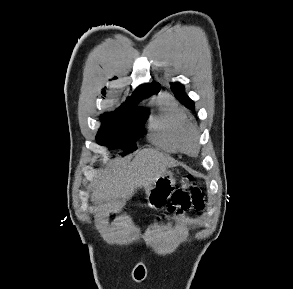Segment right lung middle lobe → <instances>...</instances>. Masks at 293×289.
Listing matches in <instances>:
<instances>
[{
    "mask_svg": "<svg viewBox=\"0 0 293 289\" xmlns=\"http://www.w3.org/2000/svg\"><path fill=\"white\" fill-rule=\"evenodd\" d=\"M139 102L124 103L116 110V115H103V124L96 136L97 143L110 149H136V139L144 133L143 127L149 115L148 110L135 111Z\"/></svg>",
    "mask_w": 293,
    "mask_h": 289,
    "instance_id": "right-lung-middle-lobe-1",
    "label": "right lung middle lobe"
}]
</instances>
